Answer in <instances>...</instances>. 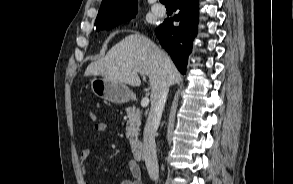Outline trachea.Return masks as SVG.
<instances>
[{
	"instance_id": "1",
	"label": "trachea",
	"mask_w": 293,
	"mask_h": 184,
	"mask_svg": "<svg viewBox=\"0 0 293 184\" xmlns=\"http://www.w3.org/2000/svg\"><path fill=\"white\" fill-rule=\"evenodd\" d=\"M160 2L163 3V4L171 3L170 0H160Z\"/></svg>"
}]
</instances>
